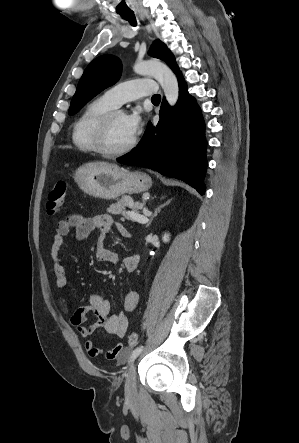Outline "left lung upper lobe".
<instances>
[{
	"mask_svg": "<svg viewBox=\"0 0 299 443\" xmlns=\"http://www.w3.org/2000/svg\"><path fill=\"white\" fill-rule=\"evenodd\" d=\"M149 55L165 61L175 73L179 71L174 55L163 42L155 41ZM121 69L120 60L112 55H103L93 60L78 83L71 100L69 115L76 114L94 96L117 82L121 76Z\"/></svg>",
	"mask_w": 299,
	"mask_h": 443,
	"instance_id": "left-lung-upper-lobe-1",
	"label": "left lung upper lobe"
}]
</instances>
